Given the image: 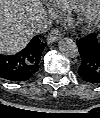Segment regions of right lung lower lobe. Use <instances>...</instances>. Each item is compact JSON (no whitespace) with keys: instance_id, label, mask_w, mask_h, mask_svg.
I'll list each match as a JSON object with an SVG mask.
<instances>
[{"instance_id":"1","label":"right lung lower lobe","mask_w":100,"mask_h":118,"mask_svg":"<svg viewBox=\"0 0 100 118\" xmlns=\"http://www.w3.org/2000/svg\"><path fill=\"white\" fill-rule=\"evenodd\" d=\"M46 43L34 37L21 52L0 55V77L12 82L26 81L39 70L41 54Z\"/></svg>"}]
</instances>
